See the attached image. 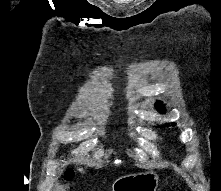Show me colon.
I'll return each instance as SVG.
<instances>
[{
  "label": "colon",
  "mask_w": 221,
  "mask_h": 191,
  "mask_svg": "<svg viewBox=\"0 0 221 191\" xmlns=\"http://www.w3.org/2000/svg\"><path fill=\"white\" fill-rule=\"evenodd\" d=\"M73 176H74L73 170L71 168H67L64 172V178L67 181H71L73 179Z\"/></svg>",
  "instance_id": "colon-1"
}]
</instances>
